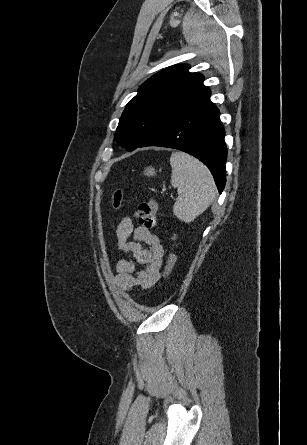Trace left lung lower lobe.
I'll return each mask as SVG.
<instances>
[{
    "label": "left lung lower lobe",
    "mask_w": 307,
    "mask_h": 445,
    "mask_svg": "<svg viewBox=\"0 0 307 445\" xmlns=\"http://www.w3.org/2000/svg\"><path fill=\"white\" fill-rule=\"evenodd\" d=\"M210 96L173 119L138 147L161 146L189 153L202 161L214 176L219 193L226 182L225 130Z\"/></svg>",
    "instance_id": "1"
}]
</instances>
